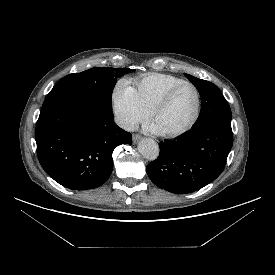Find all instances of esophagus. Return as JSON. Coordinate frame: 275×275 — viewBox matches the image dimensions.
I'll use <instances>...</instances> for the list:
<instances>
[{"mask_svg": "<svg viewBox=\"0 0 275 275\" xmlns=\"http://www.w3.org/2000/svg\"><path fill=\"white\" fill-rule=\"evenodd\" d=\"M132 139L133 143L136 144L141 139V136L138 134H133Z\"/></svg>", "mask_w": 275, "mask_h": 275, "instance_id": "34e87169", "label": "esophagus"}]
</instances>
